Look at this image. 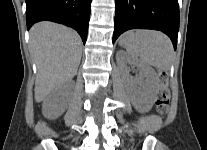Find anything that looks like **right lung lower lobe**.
<instances>
[{
	"instance_id": "right-lung-lower-lobe-1",
	"label": "right lung lower lobe",
	"mask_w": 207,
	"mask_h": 150,
	"mask_svg": "<svg viewBox=\"0 0 207 150\" xmlns=\"http://www.w3.org/2000/svg\"><path fill=\"white\" fill-rule=\"evenodd\" d=\"M91 0H26V22L47 20L74 28L86 42L90 19Z\"/></svg>"
}]
</instances>
